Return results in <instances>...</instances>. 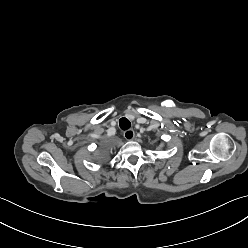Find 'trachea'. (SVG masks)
Returning <instances> with one entry per match:
<instances>
[{
    "mask_svg": "<svg viewBox=\"0 0 248 248\" xmlns=\"http://www.w3.org/2000/svg\"><path fill=\"white\" fill-rule=\"evenodd\" d=\"M119 126L122 130H128L131 127V123L127 118H121L119 120Z\"/></svg>",
    "mask_w": 248,
    "mask_h": 248,
    "instance_id": "obj_1",
    "label": "trachea"
}]
</instances>
